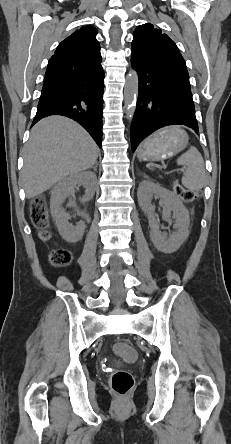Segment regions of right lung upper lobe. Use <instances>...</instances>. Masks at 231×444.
<instances>
[{
  "mask_svg": "<svg viewBox=\"0 0 231 444\" xmlns=\"http://www.w3.org/2000/svg\"><path fill=\"white\" fill-rule=\"evenodd\" d=\"M96 34L94 27L84 26L63 40L49 60L44 84L102 69Z\"/></svg>",
  "mask_w": 231,
  "mask_h": 444,
  "instance_id": "1",
  "label": "right lung upper lobe"
}]
</instances>
